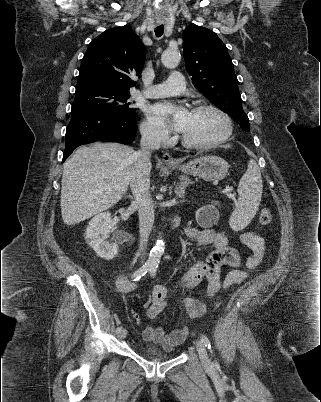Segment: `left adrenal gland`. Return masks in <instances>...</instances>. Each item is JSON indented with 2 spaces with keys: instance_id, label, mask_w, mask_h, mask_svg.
I'll return each instance as SVG.
<instances>
[{
  "instance_id": "a2214340",
  "label": "left adrenal gland",
  "mask_w": 321,
  "mask_h": 402,
  "mask_svg": "<svg viewBox=\"0 0 321 402\" xmlns=\"http://www.w3.org/2000/svg\"><path fill=\"white\" fill-rule=\"evenodd\" d=\"M179 180H180V182L175 187V194H176V197L184 198L186 187L189 184H192V182L190 181V179L187 176H180Z\"/></svg>"
}]
</instances>
